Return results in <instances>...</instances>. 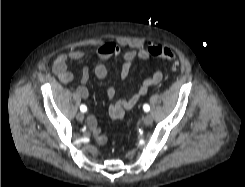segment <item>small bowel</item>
I'll list each match as a JSON object with an SVG mask.
<instances>
[{
	"instance_id": "small-bowel-1",
	"label": "small bowel",
	"mask_w": 245,
	"mask_h": 187,
	"mask_svg": "<svg viewBox=\"0 0 245 187\" xmlns=\"http://www.w3.org/2000/svg\"><path fill=\"white\" fill-rule=\"evenodd\" d=\"M160 45L157 43H151L147 48L139 50H128L121 53L120 47L114 42H105L101 44L97 51L96 56L99 60L93 67L94 75L98 79H104L107 77L108 71L103 62L107 61L112 57H119L122 54L123 63L120 71V79L125 80L131 68L135 63L140 60H146L151 57L148 48L150 45ZM85 57V53L82 50H71L69 52H63L56 56L54 59L52 70L57 76L58 80L63 84H68L73 80V74L69 71L67 62L69 60L78 61ZM90 79V69L89 67H84L81 78L80 85L76 88L75 94L80 99H87L89 97V90L86 86ZM163 79V73L161 70L155 71L152 75L145 78L138 87L134 88L125 97L117 101L111 102L109 105V116L113 120H122L124 118L125 112L131 110L138 103L139 99L144 96L150 88L158 85ZM108 97L113 100L116 96V88L110 87L108 89ZM87 125L94 134L96 143L102 145L106 142L107 138L103 135L98 127V122L96 117L90 116L87 120Z\"/></svg>"
}]
</instances>
